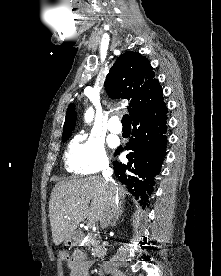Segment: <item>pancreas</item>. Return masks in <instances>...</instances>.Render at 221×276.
Returning <instances> with one entry per match:
<instances>
[{"label":"pancreas","instance_id":"1","mask_svg":"<svg viewBox=\"0 0 221 276\" xmlns=\"http://www.w3.org/2000/svg\"><path fill=\"white\" fill-rule=\"evenodd\" d=\"M84 237H87V240L85 242V246H94L95 248L97 247V239H96V236L92 233H87L86 236Z\"/></svg>","mask_w":221,"mask_h":276}]
</instances>
